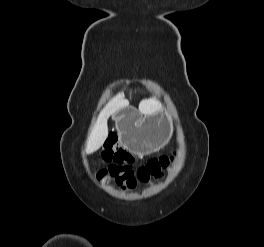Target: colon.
<instances>
[{"label": "colon", "mask_w": 264, "mask_h": 247, "mask_svg": "<svg viewBox=\"0 0 264 247\" xmlns=\"http://www.w3.org/2000/svg\"><path fill=\"white\" fill-rule=\"evenodd\" d=\"M117 141L116 134H109L102 152V158L112 163L108 169L110 176L115 179L117 184L127 188L134 187L137 181L148 182L151 178L161 177L162 170L172 161V157L166 155L153 158L135 172L132 169L134 156L121 148Z\"/></svg>", "instance_id": "5ec220e1"}]
</instances>
